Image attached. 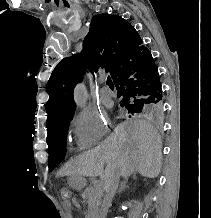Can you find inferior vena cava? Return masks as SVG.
<instances>
[{"instance_id":"602c4592","label":"inferior vena cava","mask_w":211,"mask_h":218,"mask_svg":"<svg viewBox=\"0 0 211 218\" xmlns=\"http://www.w3.org/2000/svg\"><path fill=\"white\" fill-rule=\"evenodd\" d=\"M120 180V172H111V174H105L104 178V200H103V210L108 212V208L111 206V202L118 190Z\"/></svg>"}]
</instances>
